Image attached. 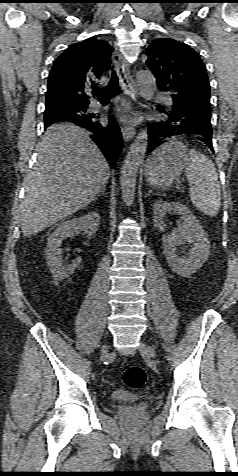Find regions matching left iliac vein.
I'll return each instance as SVG.
<instances>
[{
	"mask_svg": "<svg viewBox=\"0 0 238 476\" xmlns=\"http://www.w3.org/2000/svg\"><path fill=\"white\" fill-rule=\"evenodd\" d=\"M139 351L145 355V356H148V357H154L155 356V350L153 347L147 345V344H144V343H141L140 344V347H139Z\"/></svg>",
	"mask_w": 238,
	"mask_h": 476,
	"instance_id": "1",
	"label": "left iliac vein"
}]
</instances>
